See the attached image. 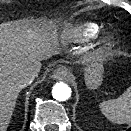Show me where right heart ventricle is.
<instances>
[{
  "mask_svg": "<svg viewBox=\"0 0 131 131\" xmlns=\"http://www.w3.org/2000/svg\"><path fill=\"white\" fill-rule=\"evenodd\" d=\"M100 31V26L95 23H86L68 30L67 36L73 41L87 40L95 37Z\"/></svg>",
  "mask_w": 131,
  "mask_h": 131,
  "instance_id": "1",
  "label": "right heart ventricle"
}]
</instances>
